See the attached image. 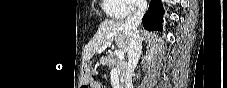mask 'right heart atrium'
Segmentation results:
<instances>
[{
    "instance_id": "right-heart-atrium-1",
    "label": "right heart atrium",
    "mask_w": 227,
    "mask_h": 88,
    "mask_svg": "<svg viewBox=\"0 0 227 88\" xmlns=\"http://www.w3.org/2000/svg\"><path fill=\"white\" fill-rule=\"evenodd\" d=\"M126 3L128 5V9L126 11V16H130L134 14L138 9L142 6L143 1L142 0H126Z\"/></svg>"
}]
</instances>
